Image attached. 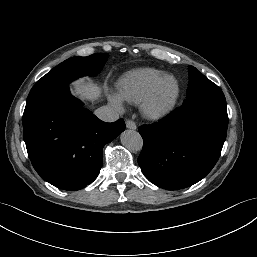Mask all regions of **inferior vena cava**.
Segmentation results:
<instances>
[{
    "label": "inferior vena cava",
    "instance_id": "602c4592",
    "mask_svg": "<svg viewBox=\"0 0 257 257\" xmlns=\"http://www.w3.org/2000/svg\"><path fill=\"white\" fill-rule=\"evenodd\" d=\"M95 115L104 122H114L119 118L118 111L110 106H102L96 109Z\"/></svg>",
    "mask_w": 257,
    "mask_h": 257
}]
</instances>
